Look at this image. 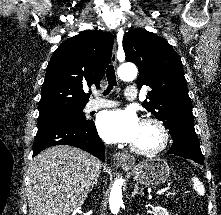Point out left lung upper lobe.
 <instances>
[{
    "instance_id": "obj_1",
    "label": "left lung upper lobe",
    "mask_w": 221,
    "mask_h": 215,
    "mask_svg": "<svg viewBox=\"0 0 221 215\" xmlns=\"http://www.w3.org/2000/svg\"><path fill=\"white\" fill-rule=\"evenodd\" d=\"M126 60L139 69L137 87L148 85L144 107L170 133L194 130L191 100L178 54L163 38L152 32L134 30L123 37Z\"/></svg>"
}]
</instances>
